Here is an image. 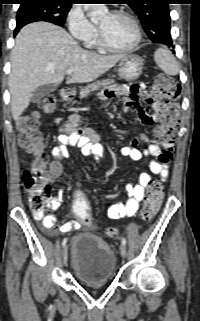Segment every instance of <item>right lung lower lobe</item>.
<instances>
[{"label": "right lung lower lobe", "mask_w": 200, "mask_h": 321, "mask_svg": "<svg viewBox=\"0 0 200 321\" xmlns=\"http://www.w3.org/2000/svg\"><path fill=\"white\" fill-rule=\"evenodd\" d=\"M23 26H24L23 24L16 26L14 35H16Z\"/></svg>", "instance_id": "obj_1"}]
</instances>
